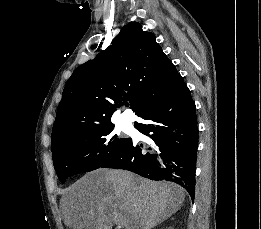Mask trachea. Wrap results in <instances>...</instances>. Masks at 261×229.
Here are the masks:
<instances>
[{
	"mask_svg": "<svg viewBox=\"0 0 261 229\" xmlns=\"http://www.w3.org/2000/svg\"><path fill=\"white\" fill-rule=\"evenodd\" d=\"M124 104H125L126 106H129L127 100L124 101Z\"/></svg>",
	"mask_w": 261,
	"mask_h": 229,
	"instance_id": "1",
	"label": "trachea"
}]
</instances>
